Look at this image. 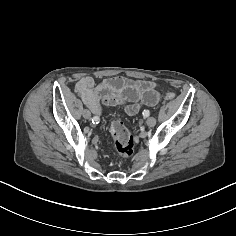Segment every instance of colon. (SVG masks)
<instances>
[{
  "instance_id": "5ec220e1",
  "label": "colon",
  "mask_w": 236,
  "mask_h": 236,
  "mask_svg": "<svg viewBox=\"0 0 236 236\" xmlns=\"http://www.w3.org/2000/svg\"><path fill=\"white\" fill-rule=\"evenodd\" d=\"M165 99L174 101L177 95L173 91H166ZM103 103L107 105H117L123 103L124 99L121 96L110 94L102 97ZM110 133L114 140V147L117 153L124 157L129 158L134 153L135 141L132 134L121 119H114L110 124Z\"/></svg>"
}]
</instances>
